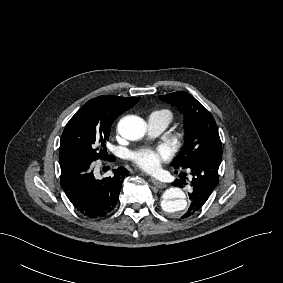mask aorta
Instances as JSON below:
<instances>
[{
    "mask_svg": "<svg viewBox=\"0 0 283 283\" xmlns=\"http://www.w3.org/2000/svg\"><path fill=\"white\" fill-rule=\"evenodd\" d=\"M145 121L137 116L123 117L117 126L119 134L127 140H138L146 132ZM186 194L180 188L173 187L167 189L161 201L162 209L170 215L180 217L187 209Z\"/></svg>",
    "mask_w": 283,
    "mask_h": 283,
    "instance_id": "1",
    "label": "aorta"
}]
</instances>
